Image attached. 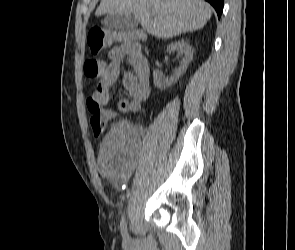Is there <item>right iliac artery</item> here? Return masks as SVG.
<instances>
[{
  "instance_id": "obj_1",
  "label": "right iliac artery",
  "mask_w": 295,
  "mask_h": 250,
  "mask_svg": "<svg viewBox=\"0 0 295 250\" xmlns=\"http://www.w3.org/2000/svg\"><path fill=\"white\" fill-rule=\"evenodd\" d=\"M120 229H121V233H122V236H123L124 240L125 241L129 240V235L127 233L126 221H125V216L124 215L122 216V219H121Z\"/></svg>"
}]
</instances>
